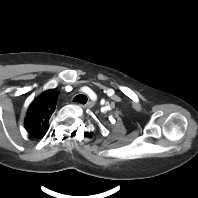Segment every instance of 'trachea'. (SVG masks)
<instances>
[{"instance_id": "1", "label": "trachea", "mask_w": 198, "mask_h": 198, "mask_svg": "<svg viewBox=\"0 0 198 198\" xmlns=\"http://www.w3.org/2000/svg\"><path fill=\"white\" fill-rule=\"evenodd\" d=\"M87 97L85 95L79 94L77 96L74 97L73 101L74 102H79L82 104H85L87 102Z\"/></svg>"}]
</instances>
